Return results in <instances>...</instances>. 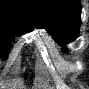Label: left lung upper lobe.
<instances>
[{
    "label": "left lung upper lobe",
    "mask_w": 89,
    "mask_h": 89,
    "mask_svg": "<svg viewBox=\"0 0 89 89\" xmlns=\"http://www.w3.org/2000/svg\"><path fill=\"white\" fill-rule=\"evenodd\" d=\"M36 27L45 28L63 46L78 37L80 0H32Z\"/></svg>",
    "instance_id": "5c2ea615"
}]
</instances>
